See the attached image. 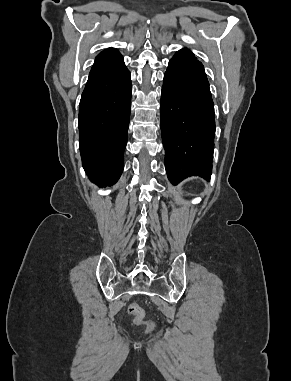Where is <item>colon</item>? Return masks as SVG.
<instances>
[{"label":"colon","mask_w":291,"mask_h":381,"mask_svg":"<svg viewBox=\"0 0 291 381\" xmlns=\"http://www.w3.org/2000/svg\"><path fill=\"white\" fill-rule=\"evenodd\" d=\"M128 313L133 316L135 324H142L144 322L145 314L138 304H130L128 307Z\"/></svg>","instance_id":"obj_1"}]
</instances>
